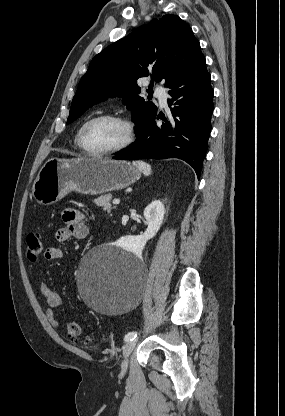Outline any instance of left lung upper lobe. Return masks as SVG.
<instances>
[{"label":"left lung upper lobe","mask_w":285,"mask_h":416,"mask_svg":"<svg viewBox=\"0 0 285 416\" xmlns=\"http://www.w3.org/2000/svg\"><path fill=\"white\" fill-rule=\"evenodd\" d=\"M203 56L192 29L176 15H164L136 28L96 55L79 82L67 124L108 97H122L132 110L138 133L157 113L152 102L139 96L137 80L151 75V83H175Z\"/></svg>","instance_id":"1"}]
</instances>
